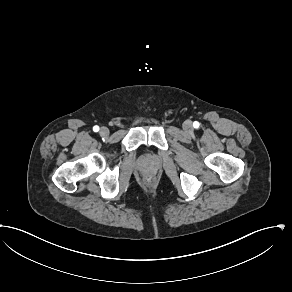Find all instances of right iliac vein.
I'll return each instance as SVG.
<instances>
[{
    "label": "right iliac vein",
    "instance_id": "right-iliac-vein-1",
    "mask_svg": "<svg viewBox=\"0 0 292 292\" xmlns=\"http://www.w3.org/2000/svg\"><path fill=\"white\" fill-rule=\"evenodd\" d=\"M99 133L101 136L106 137L109 135V129L107 127L103 126L100 128Z\"/></svg>",
    "mask_w": 292,
    "mask_h": 292
}]
</instances>
